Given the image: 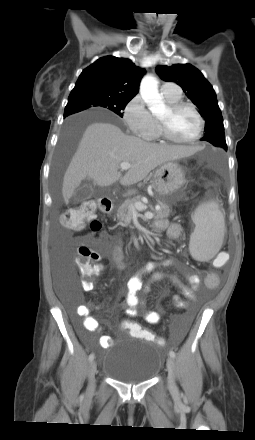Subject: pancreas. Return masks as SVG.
<instances>
[{"mask_svg":"<svg viewBox=\"0 0 255 440\" xmlns=\"http://www.w3.org/2000/svg\"><path fill=\"white\" fill-rule=\"evenodd\" d=\"M141 199L142 197L138 195L136 197L125 200L124 203L117 210V219L120 222L128 223L132 217L130 207L137 202H141ZM154 212V218L156 220L167 218L170 215L169 206L163 202H159V209L155 210Z\"/></svg>","mask_w":255,"mask_h":440,"instance_id":"obj_1","label":"pancreas"}]
</instances>
